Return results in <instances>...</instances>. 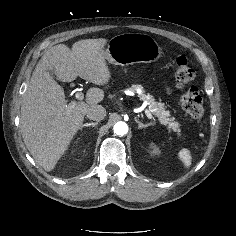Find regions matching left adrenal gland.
I'll return each instance as SVG.
<instances>
[{
	"instance_id": "1",
	"label": "left adrenal gland",
	"mask_w": 236,
	"mask_h": 236,
	"mask_svg": "<svg viewBox=\"0 0 236 236\" xmlns=\"http://www.w3.org/2000/svg\"><path fill=\"white\" fill-rule=\"evenodd\" d=\"M135 121H136V123H138V129H143V128H146V127L150 126V124H143V123H141L136 118H135Z\"/></svg>"
}]
</instances>
